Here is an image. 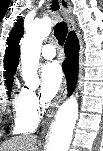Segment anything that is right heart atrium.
I'll return each mask as SVG.
<instances>
[{
  "mask_svg": "<svg viewBox=\"0 0 103 151\" xmlns=\"http://www.w3.org/2000/svg\"><path fill=\"white\" fill-rule=\"evenodd\" d=\"M23 95L28 110L31 114L37 117L41 110V102L39 97L33 90L30 89H23Z\"/></svg>",
  "mask_w": 103,
  "mask_h": 151,
  "instance_id": "right-heart-atrium-1",
  "label": "right heart atrium"
}]
</instances>
